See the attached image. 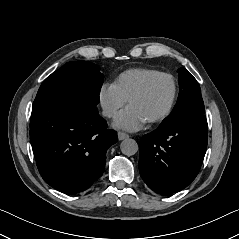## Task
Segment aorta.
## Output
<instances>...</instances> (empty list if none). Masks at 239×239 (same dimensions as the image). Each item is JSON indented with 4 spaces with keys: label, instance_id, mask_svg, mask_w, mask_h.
I'll return each instance as SVG.
<instances>
[{
    "label": "aorta",
    "instance_id": "762f6f07",
    "mask_svg": "<svg viewBox=\"0 0 239 239\" xmlns=\"http://www.w3.org/2000/svg\"><path fill=\"white\" fill-rule=\"evenodd\" d=\"M120 149L124 155L132 156L138 152L139 147L134 139L127 138L121 142Z\"/></svg>",
    "mask_w": 239,
    "mask_h": 239
}]
</instances>
